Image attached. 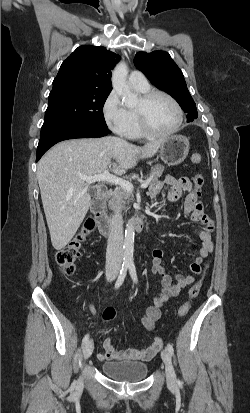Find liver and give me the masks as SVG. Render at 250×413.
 Masks as SVG:
<instances>
[{
    "label": "liver",
    "mask_w": 250,
    "mask_h": 413,
    "mask_svg": "<svg viewBox=\"0 0 250 413\" xmlns=\"http://www.w3.org/2000/svg\"><path fill=\"white\" fill-rule=\"evenodd\" d=\"M161 144L162 141H153L140 147L107 136L67 140L49 150L38 162L37 179L53 247L63 249L88 212L91 196L81 177L109 169L123 175L138 159L154 156Z\"/></svg>",
    "instance_id": "liver-1"
}]
</instances>
